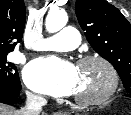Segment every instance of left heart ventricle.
<instances>
[{
  "mask_svg": "<svg viewBox=\"0 0 131 115\" xmlns=\"http://www.w3.org/2000/svg\"><path fill=\"white\" fill-rule=\"evenodd\" d=\"M78 82L75 96L90 98L102 93L109 85L107 70L97 62L86 63L77 68Z\"/></svg>",
  "mask_w": 131,
  "mask_h": 115,
  "instance_id": "obj_1",
  "label": "left heart ventricle"
}]
</instances>
